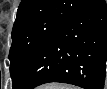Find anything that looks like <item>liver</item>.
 I'll use <instances>...</instances> for the list:
<instances>
[{"label": "liver", "instance_id": "6515ba94", "mask_svg": "<svg viewBox=\"0 0 107 89\" xmlns=\"http://www.w3.org/2000/svg\"><path fill=\"white\" fill-rule=\"evenodd\" d=\"M57 85L58 84H48V85L42 86L40 89H55L54 87Z\"/></svg>", "mask_w": 107, "mask_h": 89}]
</instances>
